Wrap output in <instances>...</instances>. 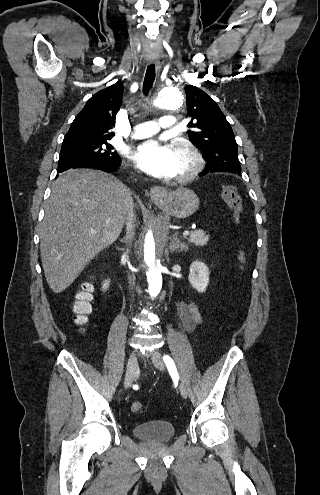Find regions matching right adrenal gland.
<instances>
[{
    "label": "right adrenal gland",
    "mask_w": 320,
    "mask_h": 495,
    "mask_svg": "<svg viewBox=\"0 0 320 495\" xmlns=\"http://www.w3.org/2000/svg\"><path fill=\"white\" fill-rule=\"evenodd\" d=\"M120 241L123 242V243H126L127 242L126 239H121Z\"/></svg>",
    "instance_id": "2a0ac1e0"
}]
</instances>
